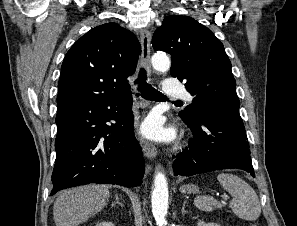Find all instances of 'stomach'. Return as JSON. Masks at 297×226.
Returning <instances> with one entry per match:
<instances>
[{"instance_id":"0dacf381","label":"stomach","mask_w":297,"mask_h":226,"mask_svg":"<svg viewBox=\"0 0 297 226\" xmlns=\"http://www.w3.org/2000/svg\"><path fill=\"white\" fill-rule=\"evenodd\" d=\"M182 193H198V187L196 185H184L180 187Z\"/></svg>"}]
</instances>
